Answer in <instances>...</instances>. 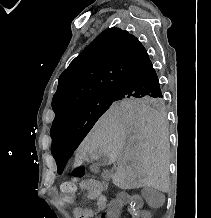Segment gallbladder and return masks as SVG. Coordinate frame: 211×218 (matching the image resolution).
I'll return each instance as SVG.
<instances>
[{
	"label": "gallbladder",
	"mask_w": 211,
	"mask_h": 218,
	"mask_svg": "<svg viewBox=\"0 0 211 218\" xmlns=\"http://www.w3.org/2000/svg\"><path fill=\"white\" fill-rule=\"evenodd\" d=\"M107 164H108L107 156H102L99 162H92L90 166V170L91 172H94V174H99V172H101L100 166H107Z\"/></svg>",
	"instance_id": "gallbladder-1"
}]
</instances>
